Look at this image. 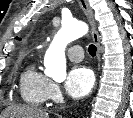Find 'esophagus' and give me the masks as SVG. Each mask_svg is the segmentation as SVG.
<instances>
[{"instance_id": "34e87169", "label": "esophagus", "mask_w": 133, "mask_h": 118, "mask_svg": "<svg viewBox=\"0 0 133 118\" xmlns=\"http://www.w3.org/2000/svg\"><path fill=\"white\" fill-rule=\"evenodd\" d=\"M78 3L89 20V23L91 26L92 39L97 47V59L100 63V61H101L100 37H99L98 31L96 28V22L94 19L93 11H92L91 7L89 6V3L87 0H78Z\"/></svg>"}]
</instances>
